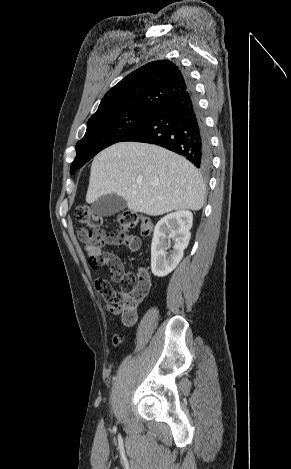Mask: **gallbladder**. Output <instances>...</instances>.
Returning a JSON list of instances; mask_svg holds the SVG:
<instances>
[{
  "instance_id": "1",
  "label": "gallbladder",
  "mask_w": 291,
  "mask_h": 469,
  "mask_svg": "<svg viewBox=\"0 0 291 469\" xmlns=\"http://www.w3.org/2000/svg\"><path fill=\"white\" fill-rule=\"evenodd\" d=\"M127 206L126 200L117 194H107L99 197L91 206L94 214L108 217L123 211Z\"/></svg>"
}]
</instances>
